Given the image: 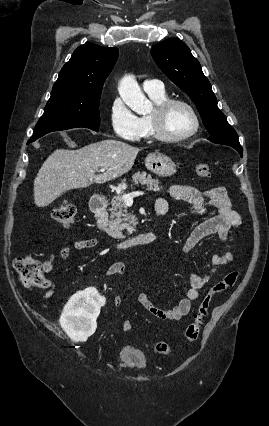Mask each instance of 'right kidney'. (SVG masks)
Masks as SVG:
<instances>
[{"mask_svg": "<svg viewBox=\"0 0 269 426\" xmlns=\"http://www.w3.org/2000/svg\"><path fill=\"white\" fill-rule=\"evenodd\" d=\"M104 303L95 288L78 292L64 307L61 327L73 341H86L96 330V319Z\"/></svg>", "mask_w": 269, "mask_h": 426, "instance_id": "ca27d5eb", "label": "right kidney"}]
</instances>
